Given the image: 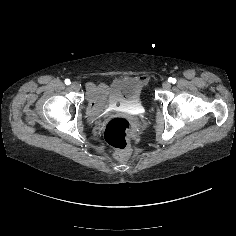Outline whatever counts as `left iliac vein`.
I'll return each instance as SVG.
<instances>
[{
	"label": "left iliac vein",
	"instance_id": "obj_1",
	"mask_svg": "<svg viewBox=\"0 0 236 236\" xmlns=\"http://www.w3.org/2000/svg\"><path fill=\"white\" fill-rule=\"evenodd\" d=\"M162 86L165 90H168V89H170L171 84L168 81H165V82H163Z\"/></svg>",
	"mask_w": 236,
	"mask_h": 236
}]
</instances>
